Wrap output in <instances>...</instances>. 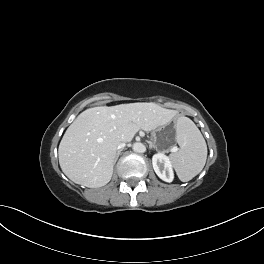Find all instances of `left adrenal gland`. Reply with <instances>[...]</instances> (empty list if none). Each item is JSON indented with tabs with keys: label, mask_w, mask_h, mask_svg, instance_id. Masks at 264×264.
<instances>
[{
	"label": "left adrenal gland",
	"mask_w": 264,
	"mask_h": 264,
	"mask_svg": "<svg viewBox=\"0 0 264 264\" xmlns=\"http://www.w3.org/2000/svg\"><path fill=\"white\" fill-rule=\"evenodd\" d=\"M149 148L157 150V147L151 141H149Z\"/></svg>",
	"instance_id": "obj_1"
}]
</instances>
